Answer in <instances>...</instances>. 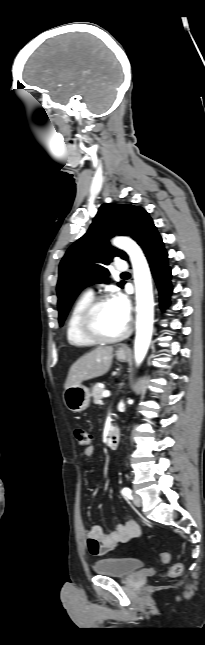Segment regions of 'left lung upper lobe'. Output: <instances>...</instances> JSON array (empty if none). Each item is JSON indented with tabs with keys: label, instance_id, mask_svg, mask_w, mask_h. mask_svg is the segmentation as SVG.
Returning <instances> with one entry per match:
<instances>
[{
	"label": "left lung upper lobe",
	"instance_id": "1",
	"mask_svg": "<svg viewBox=\"0 0 205 645\" xmlns=\"http://www.w3.org/2000/svg\"><path fill=\"white\" fill-rule=\"evenodd\" d=\"M153 225L149 214L141 207L118 203L101 205L87 233L71 245L60 262L57 283L60 326L80 291L91 284L101 283L109 275L104 266L113 257L127 260L126 253L112 247L108 239L126 235L140 244ZM118 286L122 288L124 281Z\"/></svg>",
	"mask_w": 205,
	"mask_h": 645
}]
</instances>
